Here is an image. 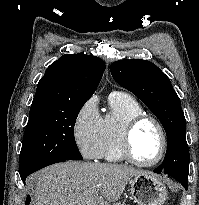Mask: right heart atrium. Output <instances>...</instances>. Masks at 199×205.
Listing matches in <instances>:
<instances>
[{
    "instance_id": "d8ad5b80",
    "label": "right heart atrium",
    "mask_w": 199,
    "mask_h": 205,
    "mask_svg": "<svg viewBox=\"0 0 199 205\" xmlns=\"http://www.w3.org/2000/svg\"><path fill=\"white\" fill-rule=\"evenodd\" d=\"M101 119L95 97L88 99L77 113L73 137L85 159L97 160L101 157Z\"/></svg>"
}]
</instances>
